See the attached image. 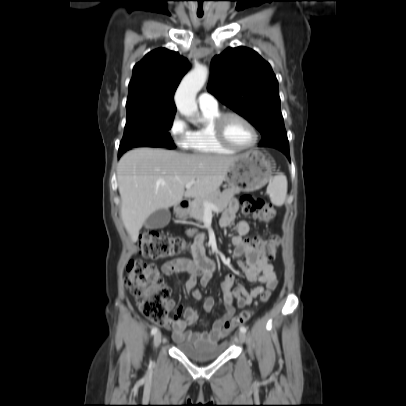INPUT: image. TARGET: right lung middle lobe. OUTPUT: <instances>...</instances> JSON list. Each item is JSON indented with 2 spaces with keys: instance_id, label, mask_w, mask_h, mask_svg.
Segmentation results:
<instances>
[{
  "instance_id": "right-lung-middle-lobe-1",
  "label": "right lung middle lobe",
  "mask_w": 406,
  "mask_h": 406,
  "mask_svg": "<svg viewBox=\"0 0 406 406\" xmlns=\"http://www.w3.org/2000/svg\"><path fill=\"white\" fill-rule=\"evenodd\" d=\"M175 113L148 110L127 111V121L118 155L135 147L175 148L170 137Z\"/></svg>"
}]
</instances>
